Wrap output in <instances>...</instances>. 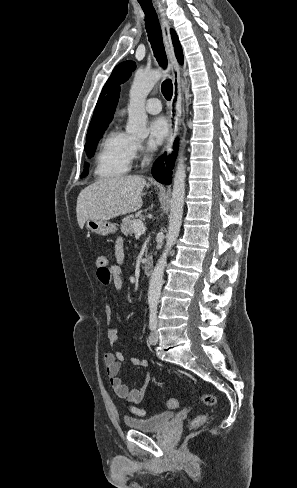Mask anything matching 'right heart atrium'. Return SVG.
Masks as SVG:
<instances>
[{
    "instance_id": "right-heart-atrium-1",
    "label": "right heart atrium",
    "mask_w": 297,
    "mask_h": 488,
    "mask_svg": "<svg viewBox=\"0 0 297 488\" xmlns=\"http://www.w3.org/2000/svg\"><path fill=\"white\" fill-rule=\"evenodd\" d=\"M130 151L132 158L148 152V149L141 143L135 140L130 141Z\"/></svg>"
}]
</instances>
